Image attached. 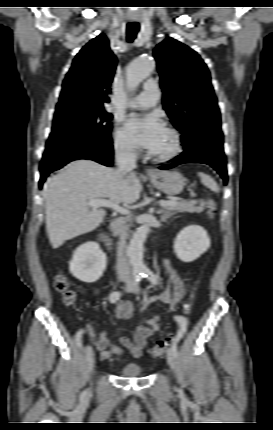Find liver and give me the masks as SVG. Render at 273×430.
Wrapping results in <instances>:
<instances>
[{
    "label": "liver",
    "instance_id": "6515ba94",
    "mask_svg": "<svg viewBox=\"0 0 273 430\" xmlns=\"http://www.w3.org/2000/svg\"><path fill=\"white\" fill-rule=\"evenodd\" d=\"M141 191L134 172L122 176L118 170L92 160L71 161L48 178L44 187L46 230L52 247L93 231L103 221L105 210L90 208V199L133 204Z\"/></svg>",
    "mask_w": 273,
    "mask_h": 430
}]
</instances>
